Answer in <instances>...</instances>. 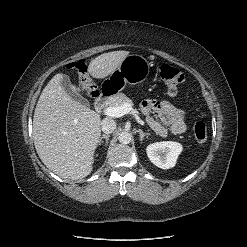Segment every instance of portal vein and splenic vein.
<instances>
[{
  "label": "portal vein and splenic vein",
  "instance_id": "obj_1",
  "mask_svg": "<svg viewBox=\"0 0 247 247\" xmlns=\"http://www.w3.org/2000/svg\"><path fill=\"white\" fill-rule=\"evenodd\" d=\"M132 114L139 124H143V121L138 116V111L132 107L130 103H124L121 106H112L104 109V114L110 117H122L126 114Z\"/></svg>",
  "mask_w": 247,
  "mask_h": 247
}]
</instances>
